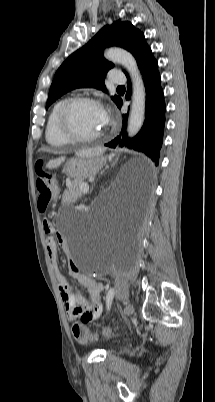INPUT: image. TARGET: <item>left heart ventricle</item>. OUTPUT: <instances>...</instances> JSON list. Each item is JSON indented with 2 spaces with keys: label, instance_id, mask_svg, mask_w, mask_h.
<instances>
[{
  "label": "left heart ventricle",
  "instance_id": "obj_1",
  "mask_svg": "<svg viewBox=\"0 0 215 402\" xmlns=\"http://www.w3.org/2000/svg\"><path fill=\"white\" fill-rule=\"evenodd\" d=\"M71 129L82 136H91L105 127V113L101 108L90 103L76 104L69 113Z\"/></svg>",
  "mask_w": 215,
  "mask_h": 402
}]
</instances>
